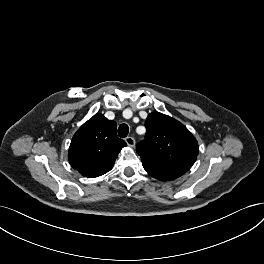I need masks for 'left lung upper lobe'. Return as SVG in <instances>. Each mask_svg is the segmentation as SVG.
<instances>
[{
    "label": "left lung upper lobe",
    "instance_id": "1",
    "mask_svg": "<svg viewBox=\"0 0 264 264\" xmlns=\"http://www.w3.org/2000/svg\"><path fill=\"white\" fill-rule=\"evenodd\" d=\"M145 140L136 151L142 162L187 172L198 155V143L179 121L159 112L150 113L145 122Z\"/></svg>",
    "mask_w": 264,
    "mask_h": 264
}]
</instances>
